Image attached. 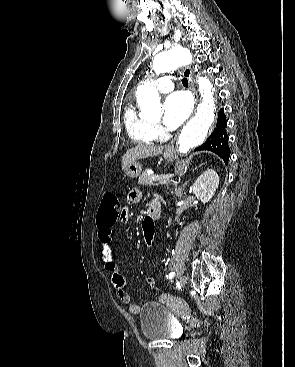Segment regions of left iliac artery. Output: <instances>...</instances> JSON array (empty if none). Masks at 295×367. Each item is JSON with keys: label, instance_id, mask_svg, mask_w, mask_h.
Returning a JSON list of instances; mask_svg holds the SVG:
<instances>
[{"label": "left iliac artery", "instance_id": "left-iliac-artery-1", "mask_svg": "<svg viewBox=\"0 0 295 367\" xmlns=\"http://www.w3.org/2000/svg\"><path fill=\"white\" fill-rule=\"evenodd\" d=\"M175 276V272H171L168 276L169 279H172Z\"/></svg>", "mask_w": 295, "mask_h": 367}]
</instances>
